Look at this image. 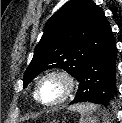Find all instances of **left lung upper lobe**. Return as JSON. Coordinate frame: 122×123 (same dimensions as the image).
<instances>
[{
    "label": "left lung upper lobe",
    "instance_id": "obj_1",
    "mask_svg": "<svg viewBox=\"0 0 122 123\" xmlns=\"http://www.w3.org/2000/svg\"><path fill=\"white\" fill-rule=\"evenodd\" d=\"M112 33L103 10L92 0H70L45 24L24 87L40 72L59 67L78 78L88 60Z\"/></svg>",
    "mask_w": 122,
    "mask_h": 123
}]
</instances>
